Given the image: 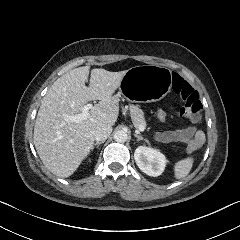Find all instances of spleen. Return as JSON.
Instances as JSON below:
<instances>
[{
	"instance_id": "spleen-1",
	"label": "spleen",
	"mask_w": 240,
	"mask_h": 240,
	"mask_svg": "<svg viewBox=\"0 0 240 240\" xmlns=\"http://www.w3.org/2000/svg\"><path fill=\"white\" fill-rule=\"evenodd\" d=\"M191 166H192V162L189 159L179 162L176 166L177 177L181 178L186 176L189 173Z\"/></svg>"
}]
</instances>
